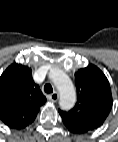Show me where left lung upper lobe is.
<instances>
[{
  "mask_svg": "<svg viewBox=\"0 0 118 142\" xmlns=\"http://www.w3.org/2000/svg\"><path fill=\"white\" fill-rule=\"evenodd\" d=\"M77 103L70 111H61L64 125L72 133H87L100 127L112 108V94L104 73L95 65L75 74Z\"/></svg>",
  "mask_w": 118,
  "mask_h": 142,
  "instance_id": "1",
  "label": "left lung upper lobe"
}]
</instances>
